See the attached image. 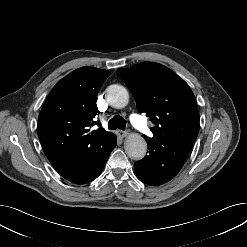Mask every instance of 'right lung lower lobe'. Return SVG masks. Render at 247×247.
Listing matches in <instances>:
<instances>
[{
	"label": "right lung lower lobe",
	"mask_w": 247,
	"mask_h": 247,
	"mask_svg": "<svg viewBox=\"0 0 247 247\" xmlns=\"http://www.w3.org/2000/svg\"><path fill=\"white\" fill-rule=\"evenodd\" d=\"M116 146L115 138L100 152L58 171L60 175L76 184H85L97 178L102 172L111 151Z\"/></svg>",
	"instance_id": "1"
}]
</instances>
